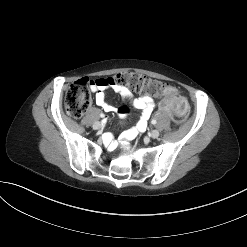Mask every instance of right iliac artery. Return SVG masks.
<instances>
[{
  "label": "right iliac artery",
  "instance_id": "1",
  "mask_svg": "<svg viewBox=\"0 0 247 247\" xmlns=\"http://www.w3.org/2000/svg\"><path fill=\"white\" fill-rule=\"evenodd\" d=\"M101 117H104V114H101Z\"/></svg>",
  "mask_w": 247,
  "mask_h": 247
}]
</instances>
